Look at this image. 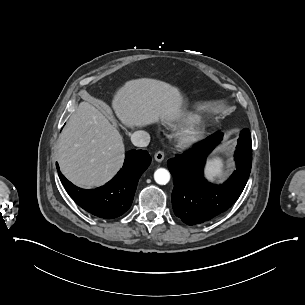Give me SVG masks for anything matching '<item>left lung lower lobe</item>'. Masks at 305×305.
I'll return each instance as SVG.
<instances>
[{"label":"left lung lower lobe","instance_id":"left-lung-lower-lobe-1","mask_svg":"<svg viewBox=\"0 0 305 305\" xmlns=\"http://www.w3.org/2000/svg\"><path fill=\"white\" fill-rule=\"evenodd\" d=\"M217 132L192 150L168 160L173 175L172 207L177 217L188 225L204 223L226 211L239 198L250 175L252 141L249 129L241 131L236 146V171L223 185L209 183L203 177L206 158L221 142Z\"/></svg>","mask_w":305,"mask_h":305}]
</instances>
